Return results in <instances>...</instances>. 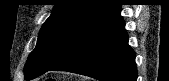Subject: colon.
<instances>
[{
  "label": "colon",
  "instance_id": "1",
  "mask_svg": "<svg viewBox=\"0 0 169 81\" xmlns=\"http://www.w3.org/2000/svg\"><path fill=\"white\" fill-rule=\"evenodd\" d=\"M46 81H55L54 78H48Z\"/></svg>",
  "mask_w": 169,
  "mask_h": 81
}]
</instances>
